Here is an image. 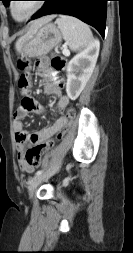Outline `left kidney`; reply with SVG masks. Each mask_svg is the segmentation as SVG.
<instances>
[{
    "label": "left kidney",
    "mask_w": 133,
    "mask_h": 253,
    "mask_svg": "<svg viewBox=\"0 0 133 253\" xmlns=\"http://www.w3.org/2000/svg\"><path fill=\"white\" fill-rule=\"evenodd\" d=\"M100 43L93 40L83 51L75 55L67 65L66 92L71 100L78 98L95 68Z\"/></svg>",
    "instance_id": "left-kidney-1"
}]
</instances>
